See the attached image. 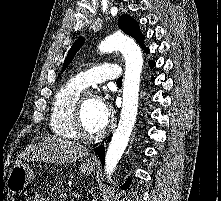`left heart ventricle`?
Returning a JSON list of instances; mask_svg holds the SVG:
<instances>
[{
  "mask_svg": "<svg viewBox=\"0 0 221 201\" xmlns=\"http://www.w3.org/2000/svg\"><path fill=\"white\" fill-rule=\"evenodd\" d=\"M108 121L109 118L104 114L101 102L88 97L83 111L85 130L90 134H96L108 124Z\"/></svg>",
  "mask_w": 221,
  "mask_h": 201,
  "instance_id": "1",
  "label": "left heart ventricle"
}]
</instances>
